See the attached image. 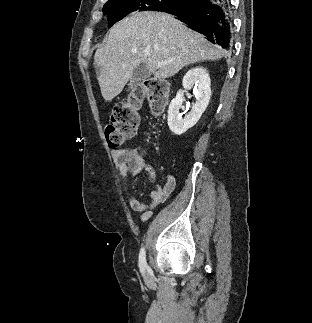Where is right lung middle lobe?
<instances>
[{
	"label": "right lung middle lobe",
	"mask_w": 312,
	"mask_h": 323,
	"mask_svg": "<svg viewBox=\"0 0 312 323\" xmlns=\"http://www.w3.org/2000/svg\"><path fill=\"white\" fill-rule=\"evenodd\" d=\"M184 0H112L104 5L109 25L135 11L163 10L180 5Z\"/></svg>",
	"instance_id": "dd1d6c3e"
}]
</instances>
